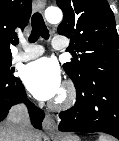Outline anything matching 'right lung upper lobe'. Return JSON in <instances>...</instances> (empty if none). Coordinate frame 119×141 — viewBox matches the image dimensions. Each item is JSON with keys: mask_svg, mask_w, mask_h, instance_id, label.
<instances>
[{"mask_svg": "<svg viewBox=\"0 0 119 141\" xmlns=\"http://www.w3.org/2000/svg\"><path fill=\"white\" fill-rule=\"evenodd\" d=\"M31 11V0H0V58L11 57L10 44L24 30Z\"/></svg>", "mask_w": 119, "mask_h": 141, "instance_id": "1", "label": "right lung upper lobe"}]
</instances>
